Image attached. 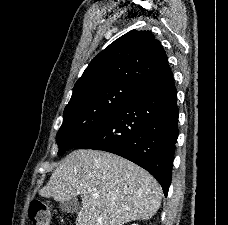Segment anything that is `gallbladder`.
Here are the masks:
<instances>
[{"label": "gallbladder", "instance_id": "bac80fb5", "mask_svg": "<svg viewBox=\"0 0 228 225\" xmlns=\"http://www.w3.org/2000/svg\"><path fill=\"white\" fill-rule=\"evenodd\" d=\"M59 207L62 209V211H66V213H77V211L80 209L77 197H72V199H65V201H60Z\"/></svg>", "mask_w": 228, "mask_h": 225}]
</instances>
